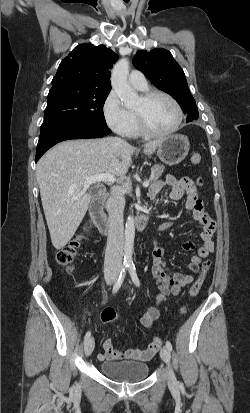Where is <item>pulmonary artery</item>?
I'll return each instance as SVG.
<instances>
[{
  "instance_id": "e3ab8cb5",
  "label": "pulmonary artery",
  "mask_w": 250,
  "mask_h": 413,
  "mask_svg": "<svg viewBox=\"0 0 250 413\" xmlns=\"http://www.w3.org/2000/svg\"><path fill=\"white\" fill-rule=\"evenodd\" d=\"M128 80L129 83L137 89H145L147 87L145 76L138 70H133L130 73Z\"/></svg>"
}]
</instances>
